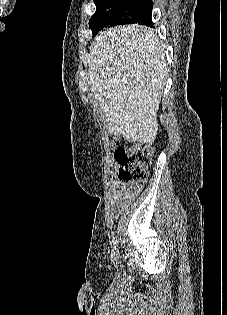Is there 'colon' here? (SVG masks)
Here are the masks:
<instances>
[{
	"label": "colon",
	"instance_id": "5ec220e1",
	"mask_svg": "<svg viewBox=\"0 0 227 315\" xmlns=\"http://www.w3.org/2000/svg\"><path fill=\"white\" fill-rule=\"evenodd\" d=\"M113 156L117 163V179L139 190L147 179V170L153 159L152 147L145 143H135L129 148L115 149Z\"/></svg>",
	"mask_w": 227,
	"mask_h": 315
}]
</instances>
